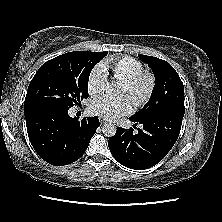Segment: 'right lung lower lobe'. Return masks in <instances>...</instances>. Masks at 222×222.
I'll return each mask as SVG.
<instances>
[{
    "label": "right lung lower lobe",
    "instance_id": "1",
    "mask_svg": "<svg viewBox=\"0 0 222 222\" xmlns=\"http://www.w3.org/2000/svg\"><path fill=\"white\" fill-rule=\"evenodd\" d=\"M29 140L46 162L63 166L78 160L99 127L97 117L78 121L68 109H45L25 115Z\"/></svg>",
    "mask_w": 222,
    "mask_h": 222
}]
</instances>
